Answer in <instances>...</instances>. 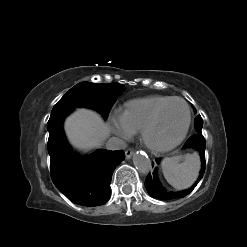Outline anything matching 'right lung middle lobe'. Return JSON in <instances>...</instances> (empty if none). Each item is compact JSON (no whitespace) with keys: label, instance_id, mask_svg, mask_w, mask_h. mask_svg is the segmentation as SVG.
<instances>
[{"label":"right lung middle lobe","instance_id":"right-lung-middle-lobe-1","mask_svg":"<svg viewBox=\"0 0 247 247\" xmlns=\"http://www.w3.org/2000/svg\"><path fill=\"white\" fill-rule=\"evenodd\" d=\"M124 90L125 86L119 83L81 82L59 100L51 114L85 106L96 109L107 117L119 94Z\"/></svg>","mask_w":247,"mask_h":247}]
</instances>
